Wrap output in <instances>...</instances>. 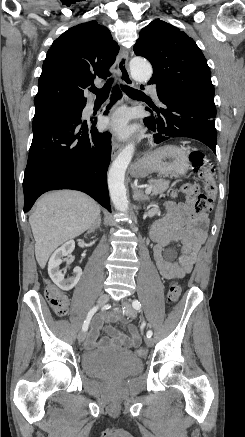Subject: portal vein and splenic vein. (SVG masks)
Here are the masks:
<instances>
[{"label": "portal vein and splenic vein", "mask_w": 245, "mask_h": 437, "mask_svg": "<svg viewBox=\"0 0 245 437\" xmlns=\"http://www.w3.org/2000/svg\"><path fill=\"white\" fill-rule=\"evenodd\" d=\"M152 190V183L148 184L145 190L146 195H149Z\"/></svg>", "instance_id": "1"}]
</instances>
